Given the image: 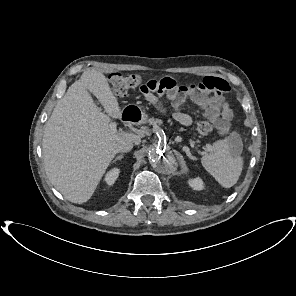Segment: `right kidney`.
<instances>
[{
    "label": "right kidney",
    "mask_w": 296,
    "mask_h": 296,
    "mask_svg": "<svg viewBox=\"0 0 296 296\" xmlns=\"http://www.w3.org/2000/svg\"><path fill=\"white\" fill-rule=\"evenodd\" d=\"M119 169L118 168H113L111 169L110 171L107 172L106 176H105V182L108 184V185H113L114 182L116 181V179L118 178L119 176Z\"/></svg>",
    "instance_id": "obj_1"
}]
</instances>
